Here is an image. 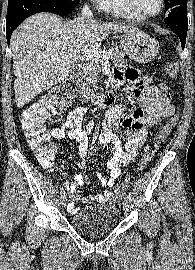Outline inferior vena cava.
<instances>
[{
  "label": "inferior vena cava",
  "mask_w": 195,
  "mask_h": 270,
  "mask_svg": "<svg viewBox=\"0 0 195 270\" xmlns=\"http://www.w3.org/2000/svg\"><path fill=\"white\" fill-rule=\"evenodd\" d=\"M93 17V13L88 7V5H84L82 10H81V19L85 21L91 20Z\"/></svg>",
  "instance_id": "602c4592"
}]
</instances>
